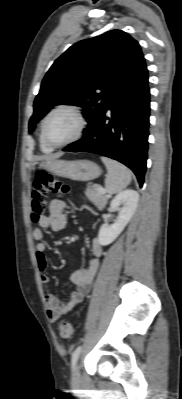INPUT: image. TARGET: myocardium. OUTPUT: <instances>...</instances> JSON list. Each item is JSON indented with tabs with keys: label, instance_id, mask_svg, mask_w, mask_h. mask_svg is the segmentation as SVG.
Instances as JSON below:
<instances>
[{
	"label": "myocardium",
	"instance_id": "f54148a6",
	"mask_svg": "<svg viewBox=\"0 0 182 399\" xmlns=\"http://www.w3.org/2000/svg\"><path fill=\"white\" fill-rule=\"evenodd\" d=\"M60 111H68V112L74 114L78 120V127H77L75 134L71 138H69L68 140H66L62 143H54V142L50 141L46 135V126H47V122L50 119V117ZM86 128H87V119L79 107L72 105V104H61V105H58L55 108H53L43 119L42 126H41V136H42L43 141L51 148H60V147H64L69 144H72V143L76 142L77 140H79L83 136Z\"/></svg>",
	"mask_w": 182,
	"mask_h": 399
}]
</instances>
